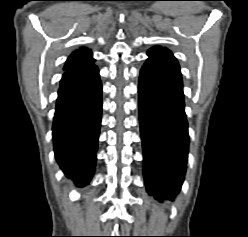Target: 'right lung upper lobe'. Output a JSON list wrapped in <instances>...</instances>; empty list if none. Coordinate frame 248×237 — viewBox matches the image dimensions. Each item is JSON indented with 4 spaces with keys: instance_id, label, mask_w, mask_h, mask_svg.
<instances>
[{
    "instance_id": "right-lung-upper-lobe-1",
    "label": "right lung upper lobe",
    "mask_w": 248,
    "mask_h": 237,
    "mask_svg": "<svg viewBox=\"0 0 248 237\" xmlns=\"http://www.w3.org/2000/svg\"><path fill=\"white\" fill-rule=\"evenodd\" d=\"M95 60L92 57V53L87 48H80L74 51L66 61L64 70L72 71L80 69L93 64Z\"/></svg>"
}]
</instances>
